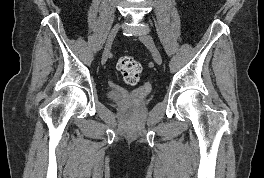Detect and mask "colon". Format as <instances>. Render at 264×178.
I'll list each match as a JSON object with an SVG mask.
<instances>
[{"label": "colon", "mask_w": 264, "mask_h": 178, "mask_svg": "<svg viewBox=\"0 0 264 178\" xmlns=\"http://www.w3.org/2000/svg\"><path fill=\"white\" fill-rule=\"evenodd\" d=\"M117 70L127 84L134 85L139 80L142 66L136 58L124 56L118 61Z\"/></svg>", "instance_id": "obj_1"}]
</instances>
